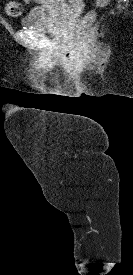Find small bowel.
Masks as SVG:
<instances>
[{"label":"small bowel","mask_w":133,"mask_h":275,"mask_svg":"<svg viewBox=\"0 0 133 275\" xmlns=\"http://www.w3.org/2000/svg\"><path fill=\"white\" fill-rule=\"evenodd\" d=\"M26 2H30V0H25Z\"/></svg>","instance_id":"1"}]
</instances>
